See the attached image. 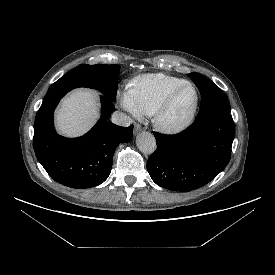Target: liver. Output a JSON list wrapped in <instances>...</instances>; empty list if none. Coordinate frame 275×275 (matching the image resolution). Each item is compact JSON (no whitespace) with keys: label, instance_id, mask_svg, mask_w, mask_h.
Listing matches in <instances>:
<instances>
[{"label":"liver","instance_id":"1","mask_svg":"<svg viewBox=\"0 0 275 275\" xmlns=\"http://www.w3.org/2000/svg\"><path fill=\"white\" fill-rule=\"evenodd\" d=\"M98 117V103L94 92L79 89L61 102L56 114V124L61 134L73 137L88 131Z\"/></svg>","mask_w":275,"mask_h":275}]
</instances>
